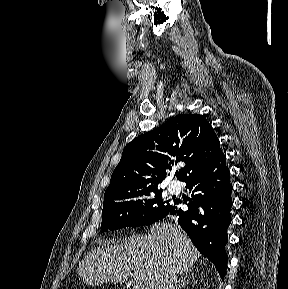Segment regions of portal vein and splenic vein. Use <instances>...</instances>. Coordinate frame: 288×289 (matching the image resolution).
Masks as SVG:
<instances>
[{"label":"portal vein and splenic vein","instance_id":"1","mask_svg":"<svg viewBox=\"0 0 288 289\" xmlns=\"http://www.w3.org/2000/svg\"><path fill=\"white\" fill-rule=\"evenodd\" d=\"M132 289H140L139 283L134 282V284L132 285Z\"/></svg>","mask_w":288,"mask_h":289}]
</instances>
